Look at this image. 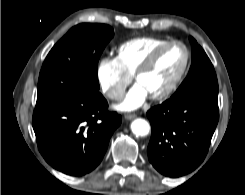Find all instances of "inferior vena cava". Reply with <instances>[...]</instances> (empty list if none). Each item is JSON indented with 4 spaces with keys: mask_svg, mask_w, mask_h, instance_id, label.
<instances>
[{
    "mask_svg": "<svg viewBox=\"0 0 245 195\" xmlns=\"http://www.w3.org/2000/svg\"><path fill=\"white\" fill-rule=\"evenodd\" d=\"M112 98L122 100L124 98V92H114L110 95Z\"/></svg>",
    "mask_w": 245,
    "mask_h": 195,
    "instance_id": "obj_1",
    "label": "inferior vena cava"
}]
</instances>
